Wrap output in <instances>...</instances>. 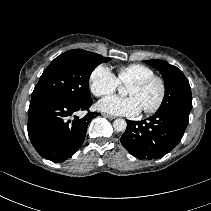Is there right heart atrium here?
<instances>
[{
	"instance_id": "d8ad5b80",
	"label": "right heart atrium",
	"mask_w": 211,
	"mask_h": 211,
	"mask_svg": "<svg viewBox=\"0 0 211 211\" xmlns=\"http://www.w3.org/2000/svg\"><path fill=\"white\" fill-rule=\"evenodd\" d=\"M89 89L96 97L114 93L119 88V81L113 72L103 64L97 65L89 74Z\"/></svg>"
}]
</instances>
